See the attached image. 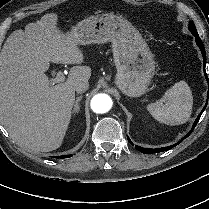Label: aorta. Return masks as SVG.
Returning a JSON list of instances; mask_svg holds the SVG:
<instances>
[{
	"label": "aorta",
	"instance_id": "1",
	"mask_svg": "<svg viewBox=\"0 0 209 209\" xmlns=\"http://www.w3.org/2000/svg\"><path fill=\"white\" fill-rule=\"evenodd\" d=\"M112 104L113 102L109 95L100 93L93 96L90 106L93 112L103 114L111 109Z\"/></svg>",
	"mask_w": 209,
	"mask_h": 209
}]
</instances>
